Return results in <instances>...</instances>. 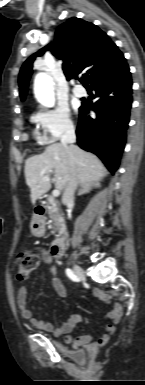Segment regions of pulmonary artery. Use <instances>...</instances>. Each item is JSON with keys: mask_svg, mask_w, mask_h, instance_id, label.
I'll use <instances>...</instances> for the list:
<instances>
[{"mask_svg": "<svg viewBox=\"0 0 145 385\" xmlns=\"http://www.w3.org/2000/svg\"><path fill=\"white\" fill-rule=\"evenodd\" d=\"M72 91L77 97H83L86 94L85 88L81 85H75Z\"/></svg>", "mask_w": 145, "mask_h": 385, "instance_id": "1", "label": "pulmonary artery"}]
</instances>
